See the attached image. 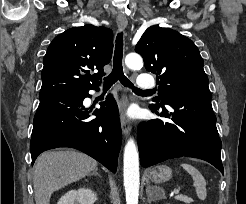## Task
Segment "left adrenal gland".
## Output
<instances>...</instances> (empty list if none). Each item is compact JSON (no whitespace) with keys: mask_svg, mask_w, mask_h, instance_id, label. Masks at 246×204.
Instances as JSON below:
<instances>
[{"mask_svg":"<svg viewBox=\"0 0 246 204\" xmlns=\"http://www.w3.org/2000/svg\"><path fill=\"white\" fill-rule=\"evenodd\" d=\"M148 197H149V198H148V201L150 202V201H151V200H150V199H151L150 195H149Z\"/></svg>","mask_w":246,"mask_h":204,"instance_id":"a2214340","label":"left adrenal gland"}]
</instances>
